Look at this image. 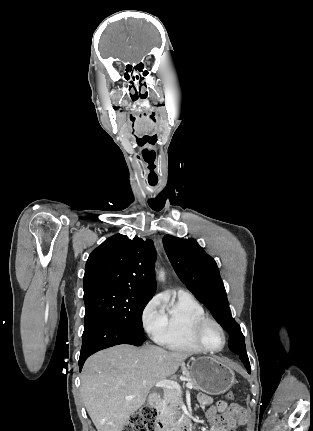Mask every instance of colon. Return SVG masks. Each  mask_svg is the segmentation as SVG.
Instances as JSON below:
<instances>
[{
    "mask_svg": "<svg viewBox=\"0 0 313 431\" xmlns=\"http://www.w3.org/2000/svg\"><path fill=\"white\" fill-rule=\"evenodd\" d=\"M226 398L233 400L235 395L232 391L226 393ZM122 431H158L157 412L152 406H144L130 416L124 424Z\"/></svg>",
    "mask_w": 313,
    "mask_h": 431,
    "instance_id": "obj_1",
    "label": "colon"
}]
</instances>
